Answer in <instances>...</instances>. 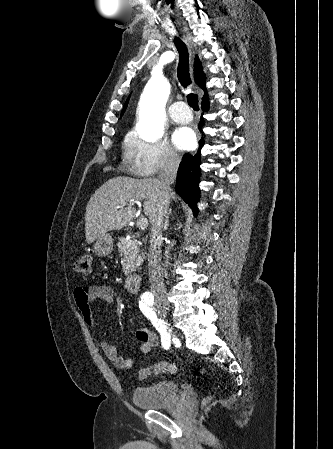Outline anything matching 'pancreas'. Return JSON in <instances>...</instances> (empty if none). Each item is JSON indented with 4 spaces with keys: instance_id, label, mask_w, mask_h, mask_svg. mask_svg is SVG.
Returning <instances> with one entry per match:
<instances>
[{
    "instance_id": "pancreas-1",
    "label": "pancreas",
    "mask_w": 333,
    "mask_h": 449,
    "mask_svg": "<svg viewBox=\"0 0 333 449\" xmlns=\"http://www.w3.org/2000/svg\"><path fill=\"white\" fill-rule=\"evenodd\" d=\"M118 248L124 254L123 272L128 275L143 261V256L136 240H127L122 237L119 239Z\"/></svg>"
}]
</instances>
